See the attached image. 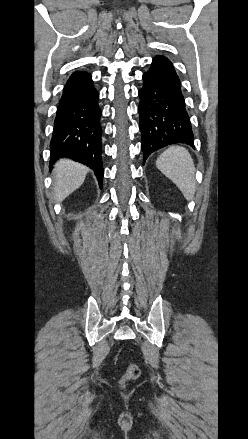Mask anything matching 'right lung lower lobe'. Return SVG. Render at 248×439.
Instances as JSON below:
<instances>
[{
    "label": "right lung lower lobe",
    "instance_id": "right-lung-lower-lobe-1",
    "mask_svg": "<svg viewBox=\"0 0 248 439\" xmlns=\"http://www.w3.org/2000/svg\"><path fill=\"white\" fill-rule=\"evenodd\" d=\"M99 93L91 75L75 72L64 86L57 108L50 142V166L59 157H68L94 170L102 188L103 165Z\"/></svg>",
    "mask_w": 248,
    "mask_h": 439
}]
</instances>
